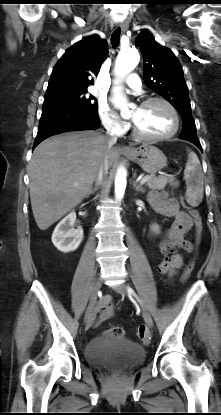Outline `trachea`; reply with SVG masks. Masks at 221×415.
Returning <instances> with one entry per match:
<instances>
[{
    "mask_svg": "<svg viewBox=\"0 0 221 415\" xmlns=\"http://www.w3.org/2000/svg\"><path fill=\"white\" fill-rule=\"evenodd\" d=\"M120 41V28H117L111 35V44L116 47Z\"/></svg>",
    "mask_w": 221,
    "mask_h": 415,
    "instance_id": "trachea-1",
    "label": "trachea"
}]
</instances>
